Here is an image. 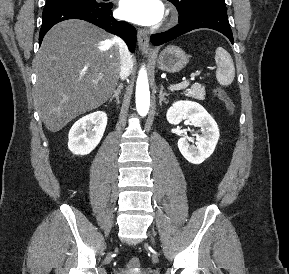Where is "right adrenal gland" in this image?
<instances>
[{
  "label": "right adrenal gland",
  "instance_id": "right-adrenal-gland-1",
  "mask_svg": "<svg viewBox=\"0 0 289 274\" xmlns=\"http://www.w3.org/2000/svg\"><path fill=\"white\" fill-rule=\"evenodd\" d=\"M123 89V85L120 84L117 88V90H115L113 96H111L109 102H112V100L115 98L117 103L120 104V100H119V94L121 93V90Z\"/></svg>",
  "mask_w": 289,
  "mask_h": 274
}]
</instances>
